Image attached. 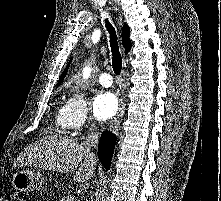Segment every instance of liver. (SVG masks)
Masks as SVG:
<instances>
[{
	"instance_id": "6515ba94",
	"label": "liver",
	"mask_w": 221,
	"mask_h": 201,
	"mask_svg": "<svg viewBox=\"0 0 221 201\" xmlns=\"http://www.w3.org/2000/svg\"><path fill=\"white\" fill-rule=\"evenodd\" d=\"M14 164L63 173L76 170L74 181L83 183L93 176L97 159L91 153L90 146L85 143L73 138L51 135L30 144Z\"/></svg>"
}]
</instances>
